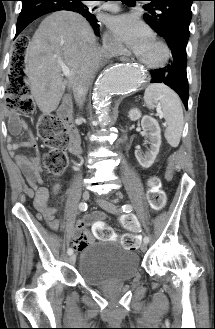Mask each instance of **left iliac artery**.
<instances>
[{
  "mask_svg": "<svg viewBox=\"0 0 215 329\" xmlns=\"http://www.w3.org/2000/svg\"><path fill=\"white\" fill-rule=\"evenodd\" d=\"M121 211L122 212H125V213H129L132 211V206L130 204H125L121 207ZM144 242L145 243H148L149 242V237L148 236H145L144 237Z\"/></svg>",
  "mask_w": 215,
  "mask_h": 329,
  "instance_id": "obj_1",
  "label": "left iliac artery"
}]
</instances>
